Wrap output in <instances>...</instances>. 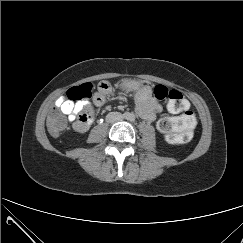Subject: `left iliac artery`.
Wrapping results in <instances>:
<instances>
[{"label":"left iliac artery","instance_id":"1","mask_svg":"<svg viewBox=\"0 0 243 243\" xmlns=\"http://www.w3.org/2000/svg\"><path fill=\"white\" fill-rule=\"evenodd\" d=\"M134 119H135L134 116H131V117H130V120H131V121H134Z\"/></svg>","mask_w":243,"mask_h":243}]
</instances>
